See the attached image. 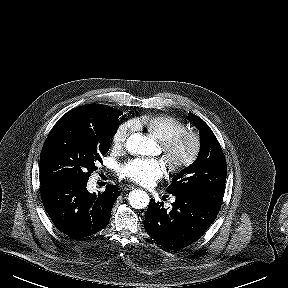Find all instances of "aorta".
Wrapping results in <instances>:
<instances>
[{"instance_id":"aorta-1","label":"aorta","mask_w":288,"mask_h":288,"mask_svg":"<svg viewBox=\"0 0 288 288\" xmlns=\"http://www.w3.org/2000/svg\"><path fill=\"white\" fill-rule=\"evenodd\" d=\"M156 147L157 144L152 138L140 133L132 134L126 142L127 150L135 155H151L156 150ZM128 200L133 208L142 209L148 206L150 198L145 191L137 189L129 193Z\"/></svg>"}]
</instances>
